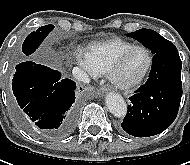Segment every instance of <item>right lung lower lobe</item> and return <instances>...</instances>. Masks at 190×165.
I'll return each instance as SVG.
<instances>
[{
	"mask_svg": "<svg viewBox=\"0 0 190 165\" xmlns=\"http://www.w3.org/2000/svg\"><path fill=\"white\" fill-rule=\"evenodd\" d=\"M15 69L10 100L20 123L51 138L67 136L75 123L76 83L61 80L60 72L31 61Z\"/></svg>",
	"mask_w": 190,
	"mask_h": 165,
	"instance_id": "1",
	"label": "right lung lower lobe"
}]
</instances>
